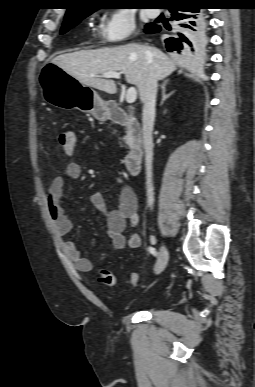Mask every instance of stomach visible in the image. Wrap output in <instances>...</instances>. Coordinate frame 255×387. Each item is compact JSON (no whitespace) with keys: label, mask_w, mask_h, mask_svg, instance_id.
Instances as JSON below:
<instances>
[{"label":"stomach","mask_w":255,"mask_h":387,"mask_svg":"<svg viewBox=\"0 0 255 387\" xmlns=\"http://www.w3.org/2000/svg\"><path fill=\"white\" fill-rule=\"evenodd\" d=\"M39 81L47 103L61 109L75 107L91 113L99 121L108 119V103L93 88L81 84L57 65H47Z\"/></svg>","instance_id":"1"}]
</instances>
